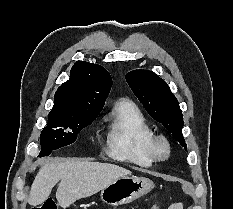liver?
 I'll use <instances>...</instances> for the list:
<instances>
[{
  "mask_svg": "<svg viewBox=\"0 0 233 209\" xmlns=\"http://www.w3.org/2000/svg\"><path fill=\"white\" fill-rule=\"evenodd\" d=\"M131 174L121 166L80 160L52 161L43 166L36 175L28 203L37 206L44 203L53 187L60 181L56 199L62 208L77 200L96 194L118 178Z\"/></svg>",
  "mask_w": 233,
  "mask_h": 209,
  "instance_id": "6515ba94",
  "label": "liver"
}]
</instances>
